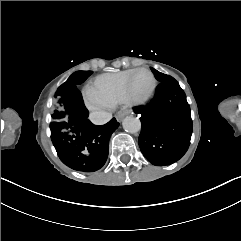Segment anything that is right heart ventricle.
Here are the masks:
<instances>
[{
  "mask_svg": "<svg viewBox=\"0 0 241 241\" xmlns=\"http://www.w3.org/2000/svg\"><path fill=\"white\" fill-rule=\"evenodd\" d=\"M132 72H134V70L106 73L97 76L86 87L85 96L100 99L110 107L127 101L134 95V93L126 94V78H128V75H131ZM136 78H133L131 82L135 81Z\"/></svg>",
  "mask_w": 241,
  "mask_h": 241,
  "instance_id": "right-heart-ventricle-1",
  "label": "right heart ventricle"
}]
</instances>
